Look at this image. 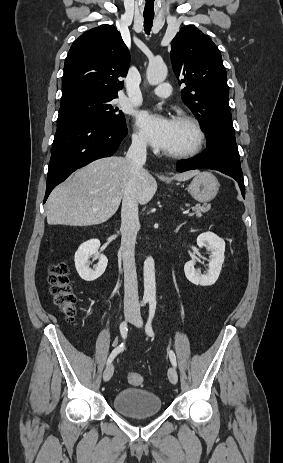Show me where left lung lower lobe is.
<instances>
[{
  "label": "left lung lower lobe",
  "instance_id": "0a47b994",
  "mask_svg": "<svg viewBox=\"0 0 283 463\" xmlns=\"http://www.w3.org/2000/svg\"><path fill=\"white\" fill-rule=\"evenodd\" d=\"M193 169L221 171L239 182L242 196L245 197V186L238 154H234L220 146H209L201 155L177 162L176 170L179 172Z\"/></svg>",
  "mask_w": 283,
  "mask_h": 463
}]
</instances>
